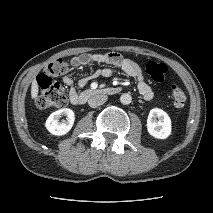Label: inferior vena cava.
<instances>
[{"label": "inferior vena cava", "instance_id": "inferior-vena-cava-1", "mask_svg": "<svg viewBox=\"0 0 213 213\" xmlns=\"http://www.w3.org/2000/svg\"><path fill=\"white\" fill-rule=\"evenodd\" d=\"M108 97L104 94H97L89 98L88 104L92 108H96L103 105L107 101Z\"/></svg>", "mask_w": 213, "mask_h": 213}]
</instances>
